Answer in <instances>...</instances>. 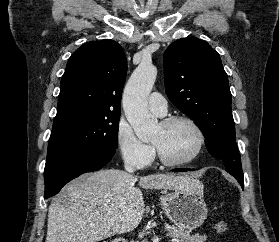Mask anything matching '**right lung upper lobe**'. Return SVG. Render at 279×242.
Masks as SVG:
<instances>
[{"label": "right lung upper lobe", "instance_id": "cb5924a9", "mask_svg": "<svg viewBox=\"0 0 279 242\" xmlns=\"http://www.w3.org/2000/svg\"><path fill=\"white\" fill-rule=\"evenodd\" d=\"M127 63L110 39L83 44L69 58L61 78L57 114L86 109L119 113Z\"/></svg>", "mask_w": 279, "mask_h": 242}]
</instances>
